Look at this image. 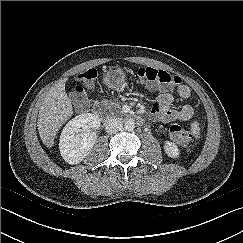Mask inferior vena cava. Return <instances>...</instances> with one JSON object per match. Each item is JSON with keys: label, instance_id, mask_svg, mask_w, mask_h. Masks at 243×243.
Instances as JSON below:
<instances>
[{"label": "inferior vena cava", "instance_id": "inferior-vena-cava-1", "mask_svg": "<svg viewBox=\"0 0 243 243\" xmlns=\"http://www.w3.org/2000/svg\"><path fill=\"white\" fill-rule=\"evenodd\" d=\"M105 129L108 134H115L123 129V123L118 118H111L106 122Z\"/></svg>", "mask_w": 243, "mask_h": 243}]
</instances>
